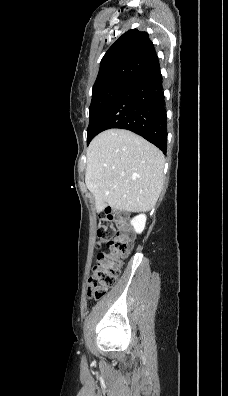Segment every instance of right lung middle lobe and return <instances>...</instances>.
<instances>
[{
    "instance_id": "right-lung-middle-lobe-1",
    "label": "right lung middle lobe",
    "mask_w": 228,
    "mask_h": 396,
    "mask_svg": "<svg viewBox=\"0 0 228 396\" xmlns=\"http://www.w3.org/2000/svg\"><path fill=\"white\" fill-rule=\"evenodd\" d=\"M128 86L127 83H109L98 88H94L92 92V101L89 107V126L87 128V144L96 135V123L116 99V97Z\"/></svg>"
}]
</instances>
